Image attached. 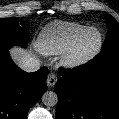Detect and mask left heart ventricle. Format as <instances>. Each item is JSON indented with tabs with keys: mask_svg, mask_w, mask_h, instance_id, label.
Segmentation results:
<instances>
[{
	"mask_svg": "<svg viewBox=\"0 0 119 119\" xmlns=\"http://www.w3.org/2000/svg\"><path fill=\"white\" fill-rule=\"evenodd\" d=\"M98 43V34L96 32L88 33L78 46V53L84 54L93 50Z\"/></svg>",
	"mask_w": 119,
	"mask_h": 119,
	"instance_id": "obj_1",
	"label": "left heart ventricle"
}]
</instances>
